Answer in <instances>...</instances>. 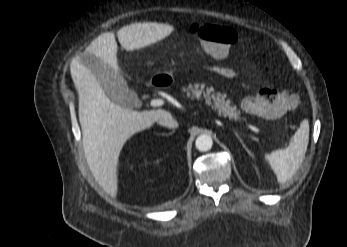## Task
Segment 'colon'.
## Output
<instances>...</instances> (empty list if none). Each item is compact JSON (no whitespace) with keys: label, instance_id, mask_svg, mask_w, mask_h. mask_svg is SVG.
I'll list each match as a JSON object with an SVG mask.
<instances>
[{"label":"colon","instance_id":"colon-1","mask_svg":"<svg viewBox=\"0 0 347 247\" xmlns=\"http://www.w3.org/2000/svg\"><path fill=\"white\" fill-rule=\"evenodd\" d=\"M190 33L201 44L204 51L213 58L223 59L229 48L237 41V32L228 26L215 23H195ZM296 96L288 90L262 88L256 96H248L242 106L250 113L276 118L295 108Z\"/></svg>","mask_w":347,"mask_h":247}]
</instances>
